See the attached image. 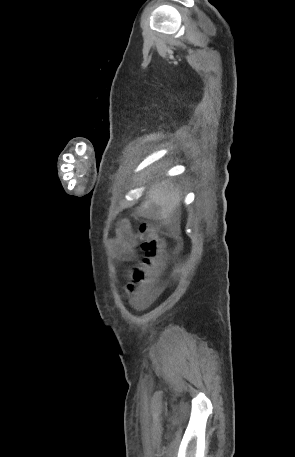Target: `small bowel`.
Wrapping results in <instances>:
<instances>
[{
	"label": "small bowel",
	"mask_w": 295,
	"mask_h": 457,
	"mask_svg": "<svg viewBox=\"0 0 295 457\" xmlns=\"http://www.w3.org/2000/svg\"><path fill=\"white\" fill-rule=\"evenodd\" d=\"M111 244L117 257L128 260L133 256L134 249L137 245V237L127 220H122L118 224L115 238L112 240ZM163 289L164 287L161 284H152L147 289L143 299L134 302L139 306H144L156 298Z\"/></svg>",
	"instance_id": "1"
}]
</instances>
